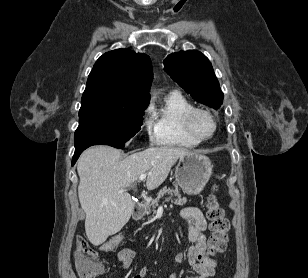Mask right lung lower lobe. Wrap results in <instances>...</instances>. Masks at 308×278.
Returning a JSON list of instances; mask_svg holds the SVG:
<instances>
[{"label":"right lung lower lobe","instance_id":"1","mask_svg":"<svg viewBox=\"0 0 308 278\" xmlns=\"http://www.w3.org/2000/svg\"><path fill=\"white\" fill-rule=\"evenodd\" d=\"M89 146H82V147H78V148H75V153H74V156L72 158V165L75 164V162L77 161L78 157L80 156V154L86 149L88 148Z\"/></svg>","mask_w":308,"mask_h":278}]
</instances>
